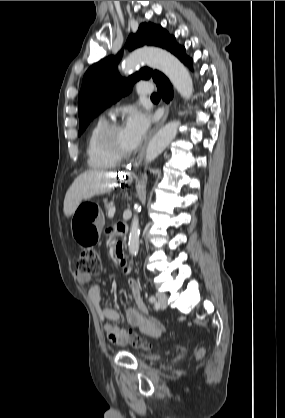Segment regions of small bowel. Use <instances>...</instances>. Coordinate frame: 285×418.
Segmentation results:
<instances>
[{
    "label": "small bowel",
    "mask_w": 285,
    "mask_h": 418,
    "mask_svg": "<svg viewBox=\"0 0 285 418\" xmlns=\"http://www.w3.org/2000/svg\"><path fill=\"white\" fill-rule=\"evenodd\" d=\"M119 230V228H118ZM120 264L124 271L128 272L126 262L120 260ZM104 272V269L102 270ZM75 279L79 283H85L88 281L86 275L75 274ZM127 287L131 294L137 309L128 308L126 310V318L131 326L137 327L144 334L157 337L162 332V325L152 319L147 311V308L143 302L139 284L136 279L129 278L127 280ZM89 298L94 305L99 317L103 321V330L109 339V341L116 345H122L127 342L125 331L115 326L114 322L119 318V314L111 307L102 306V289L99 285H93L88 292Z\"/></svg>",
    "instance_id": "1"
}]
</instances>
